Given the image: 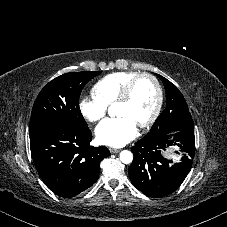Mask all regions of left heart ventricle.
Returning <instances> with one entry per match:
<instances>
[{"mask_svg": "<svg viewBox=\"0 0 227 227\" xmlns=\"http://www.w3.org/2000/svg\"><path fill=\"white\" fill-rule=\"evenodd\" d=\"M156 98L153 82L143 77L137 81L131 98L126 103L115 105V112L119 116L130 118L136 126H139L152 114Z\"/></svg>", "mask_w": 227, "mask_h": 227, "instance_id": "1", "label": "left heart ventricle"}]
</instances>
